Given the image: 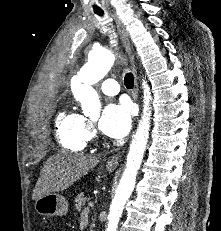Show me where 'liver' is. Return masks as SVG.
<instances>
[{
  "mask_svg": "<svg viewBox=\"0 0 221 231\" xmlns=\"http://www.w3.org/2000/svg\"><path fill=\"white\" fill-rule=\"evenodd\" d=\"M100 162L99 157L61 151L50 157L44 164L32 199L56 193L69 188L74 182L88 174Z\"/></svg>",
  "mask_w": 221,
  "mask_h": 231,
  "instance_id": "1",
  "label": "liver"
}]
</instances>
